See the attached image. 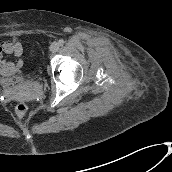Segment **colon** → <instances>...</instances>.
Masks as SVG:
<instances>
[{"instance_id": "1", "label": "colon", "mask_w": 172, "mask_h": 172, "mask_svg": "<svg viewBox=\"0 0 172 172\" xmlns=\"http://www.w3.org/2000/svg\"><path fill=\"white\" fill-rule=\"evenodd\" d=\"M16 111H17V113H18L19 115L22 116V115H24V114L27 113L28 107H27V105H26L25 103L20 102V103H18L17 106H16Z\"/></svg>"}]
</instances>
